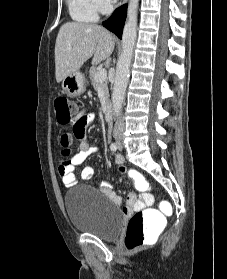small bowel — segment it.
I'll list each match as a JSON object with an SVG mask.
<instances>
[{
	"label": "small bowel",
	"instance_id": "obj_1",
	"mask_svg": "<svg viewBox=\"0 0 227 279\" xmlns=\"http://www.w3.org/2000/svg\"><path fill=\"white\" fill-rule=\"evenodd\" d=\"M93 119L94 117L91 113H85L83 127L91 124ZM72 134L79 143V152L71 155L69 158L61 159L57 165V172L61 178L62 183L66 187H72L78 183V178L74 171L75 167L84 163L91 154L97 151L96 147H93L88 143L84 128L82 132L72 131ZM117 160L121 161L122 159L121 157H117ZM133 172H135L133 169H124L122 171L123 175L128 181L133 180ZM93 174V168L91 166H87L83 168L79 176L82 181H90L93 178ZM100 188L114 204L121 205V197L111 190L110 184L108 182L101 184ZM151 202V195H138L136 191H133L127 196L125 209H127V207H133L135 210H139L147 205H150Z\"/></svg>",
	"mask_w": 227,
	"mask_h": 279
}]
</instances>
